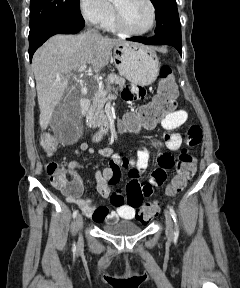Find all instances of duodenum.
Listing matches in <instances>:
<instances>
[{
    "mask_svg": "<svg viewBox=\"0 0 240 288\" xmlns=\"http://www.w3.org/2000/svg\"><path fill=\"white\" fill-rule=\"evenodd\" d=\"M89 101L87 99H82L80 101V107L81 111L85 114L89 113ZM92 122L96 123L100 129V133H105L108 131L109 124H110V118L107 115H102L96 119H92Z\"/></svg>",
    "mask_w": 240,
    "mask_h": 288,
    "instance_id": "duodenum-1",
    "label": "duodenum"
}]
</instances>
